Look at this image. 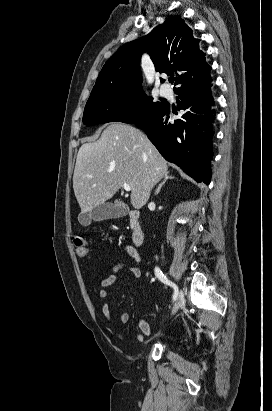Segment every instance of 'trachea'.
<instances>
[{"label": "trachea", "instance_id": "obj_1", "mask_svg": "<svg viewBox=\"0 0 272 411\" xmlns=\"http://www.w3.org/2000/svg\"><path fill=\"white\" fill-rule=\"evenodd\" d=\"M174 80H175L174 78H169V82H170V83H173Z\"/></svg>", "mask_w": 272, "mask_h": 411}]
</instances>
